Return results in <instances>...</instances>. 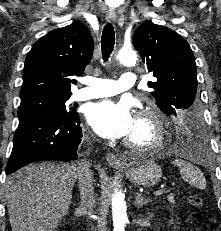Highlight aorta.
<instances>
[{
  "label": "aorta",
  "instance_id": "aorta-1",
  "mask_svg": "<svg viewBox=\"0 0 221 231\" xmlns=\"http://www.w3.org/2000/svg\"><path fill=\"white\" fill-rule=\"evenodd\" d=\"M114 60L123 65H133L136 63L137 55L132 48H122L115 54ZM126 210L124 195L115 192L112 196L113 231H125L128 220Z\"/></svg>",
  "mask_w": 221,
  "mask_h": 231
}]
</instances>
